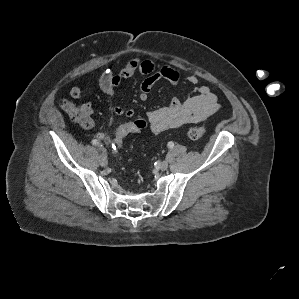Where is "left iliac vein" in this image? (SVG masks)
<instances>
[{"label": "left iliac vein", "mask_w": 299, "mask_h": 299, "mask_svg": "<svg viewBox=\"0 0 299 299\" xmlns=\"http://www.w3.org/2000/svg\"><path fill=\"white\" fill-rule=\"evenodd\" d=\"M159 168L162 170V171H165L167 170L168 168V163L166 161H162L159 165Z\"/></svg>", "instance_id": "4c4485c4"}]
</instances>
